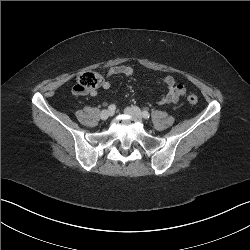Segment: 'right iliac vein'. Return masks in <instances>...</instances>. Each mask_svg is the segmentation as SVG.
<instances>
[{
	"label": "right iliac vein",
	"mask_w": 250,
	"mask_h": 250,
	"mask_svg": "<svg viewBox=\"0 0 250 250\" xmlns=\"http://www.w3.org/2000/svg\"><path fill=\"white\" fill-rule=\"evenodd\" d=\"M111 113L110 111L108 110H103L101 113H100V118L102 120H107L109 117H110Z\"/></svg>",
	"instance_id": "63e3f726"
}]
</instances>
